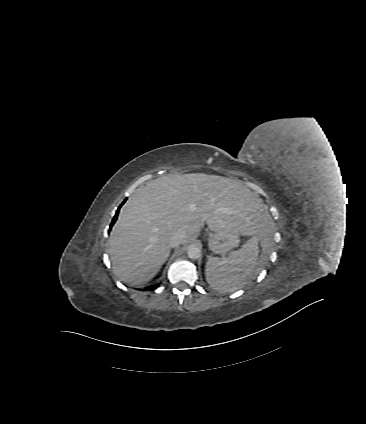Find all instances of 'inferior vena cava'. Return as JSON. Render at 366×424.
<instances>
[{"mask_svg": "<svg viewBox=\"0 0 366 424\" xmlns=\"http://www.w3.org/2000/svg\"><path fill=\"white\" fill-rule=\"evenodd\" d=\"M185 238V233L183 231L176 232L173 234L169 239V246L170 247H177L180 245Z\"/></svg>", "mask_w": 366, "mask_h": 424, "instance_id": "obj_1", "label": "inferior vena cava"}]
</instances>
